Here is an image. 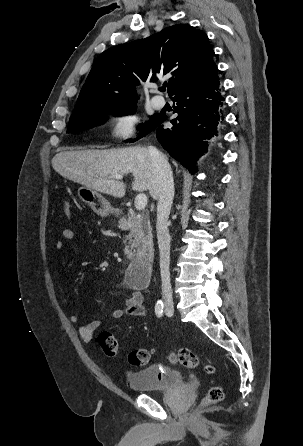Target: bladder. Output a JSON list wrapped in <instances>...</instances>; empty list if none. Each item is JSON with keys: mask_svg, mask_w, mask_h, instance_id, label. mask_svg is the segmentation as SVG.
Here are the masks:
<instances>
[{"mask_svg": "<svg viewBox=\"0 0 303 446\" xmlns=\"http://www.w3.org/2000/svg\"><path fill=\"white\" fill-rule=\"evenodd\" d=\"M127 382L137 392H160L185 386L180 371L156 365L128 373Z\"/></svg>", "mask_w": 303, "mask_h": 446, "instance_id": "31cf9c89", "label": "bladder"}]
</instances>
